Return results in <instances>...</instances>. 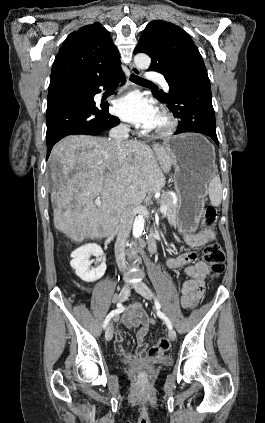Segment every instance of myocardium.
Instances as JSON below:
<instances>
[{
	"label": "myocardium",
	"instance_id": "obj_1",
	"mask_svg": "<svg viewBox=\"0 0 265 423\" xmlns=\"http://www.w3.org/2000/svg\"><path fill=\"white\" fill-rule=\"evenodd\" d=\"M158 112L162 116L164 124L161 127L150 129V131L158 136L171 135L177 129L178 121L165 108H161Z\"/></svg>",
	"mask_w": 265,
	"mask_h": 423
}]
</instances>
